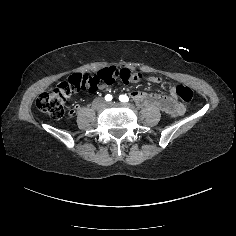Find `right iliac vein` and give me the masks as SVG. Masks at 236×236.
<instances>
[{
	"instance_id": "right-iliac-vein-1",
	"label": "right iliac vein",
	"mask_w": 236,
	"mask_h": 236,
	"mask_svg": "<svg viewBox=\"0 0 236 236\" xmlns=\"http://www.w3.org/2000/svg\"><path fill=\"white\" fill-rule=\"evenodd\" d=\"M105 106V101L103 99L98 100L97 107L102 108Z\"/></svg>"
}]
</instances>
